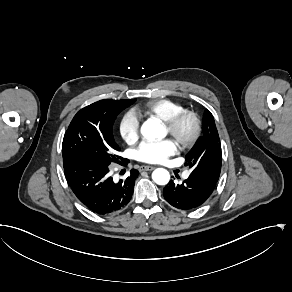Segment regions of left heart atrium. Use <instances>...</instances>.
<instances>
[{"mask_svg":"<svg viewBox=\"0 0 292 292\" xmlns=\"http://www.w3.org/2000/svg\"><path fill=\"white\" fill-rule=\"evenodd\" d=\"M178 151V145L172 139L145 141L136 151L138 160L146 163H162Z\"/></svg>","mask_w":292,"mask_h":292,"instance_id":"obj_1","label":"left heart atrium"}]
</instances>
